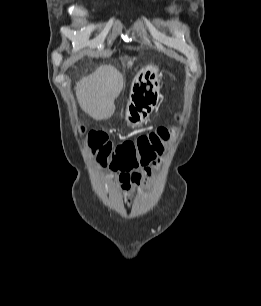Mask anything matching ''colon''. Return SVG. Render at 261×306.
<instances>
[{"label": "colon", "instance_id": "1", "mask_svg": "<svg viewBox=\"0 0 261 306\" xmlns=\"http://www.w3.org/2000/svg\"><path fill=\"white\" fill-rule=\"evenodd\" d=\"M174 132L173 127L159 126L134 140L113 144L104 132L81 130L92 157L100 166L113 171L149 166L167 149Z\"/></svg>", "mask_w": 261, "mask_h": 306}]
</instances>
